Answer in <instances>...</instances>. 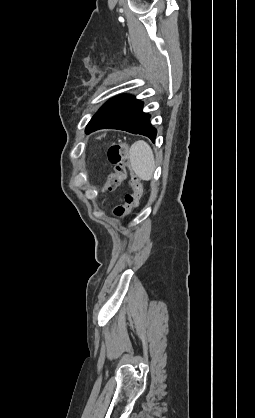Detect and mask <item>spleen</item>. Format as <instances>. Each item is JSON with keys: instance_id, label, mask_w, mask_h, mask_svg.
I'll return each mask as SVG.
<instances>
[{"instance_id": "spleen-1", "label": "spleen", "mask_w": 255, "mask_h": 418, "mask_svg": "<svg viewBox=\"0 0 255 418\" xmlns=\"http://www.w3.org/2000/svg\"><path fill=\"white\" fill-rule=\"evenodd\" d=\"M130 164L135 174L144 181L153 177L155 160L151 147L143 140H139L130 147Z\"/></svg>"}]
</instances>
